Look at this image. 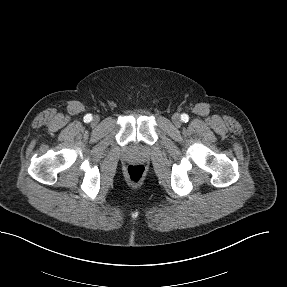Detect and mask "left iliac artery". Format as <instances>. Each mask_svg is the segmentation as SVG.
I'll return each mask as SVG.
<instances>
[{
    "label": "left iliac artery",
    "mask_w": 287,
    "mask_h": 287,
    "mask_svg": "<svg viewBox=\"0 0 287 287\" xmlns=\"http://www.w3.org/2000/svg\"><path fill=\"white\" fill-rule=\"evenodd\" d=\"M181 120H182L183 122H188L189 116L184 113V114L181 115Z\"/></svg>",
    "instance_id": "44dca946"
}]
</instances>
